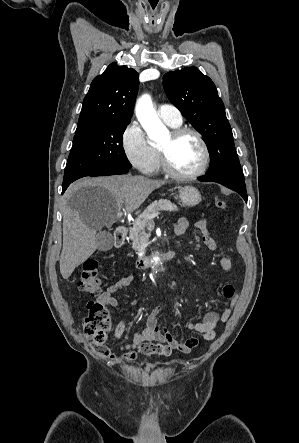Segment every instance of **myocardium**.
Returning <instances> with one entry per match:
<instances>
[{
    "instance_id": "f54148a6",
    "label": "myocardium",
    "mask_w": 299,
    "mask_h": 443,
    "mask_svg": "<svg viewBox=\"0 0 299 443\" xmlns=\"http://www.w3.org/2000/svg\"><path fill=\"white\" fill-rule=\"evenodd\" d=\"M185 134L194 135L195 138L197 139V141L199 142V144L201 146V150H202L201 163H200L199 167L196 170H194L193 172L181 173V172L176 171L170 163L168 149L164 146L158 147L161 168L168 176H170L174 179H178V180H189V179H194V178L200 177L206 171L209 161H210V151H209L208 145H207L205 139L203 138L202 134L198 130L191 128V127L174 128L170 132V140L175 141Z\"/></svg>"
}]
</instances>
